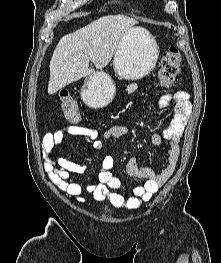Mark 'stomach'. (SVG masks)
Here are the masks:
<instances>
[{
  "mask_svg": "<svg viewBox=\"0 0 221 263\" xmlns=\"http://www.w3.org/2000/svg\"><path fill=\"white\" fill-rule=\"evenodd\" d=\"M159 47L150 33L140 27L128 30L115 51L113 67L125 80H139L155 67ZM116 93L115 83L105 72L90 74L81 89L83 101L91 108L106 107Z\"/></svg>",
  "mask_w": 221,
  "mask_h": 263,
  "instance_id": "stomach-1",
  "label": "stomach"
}]
</instances>
